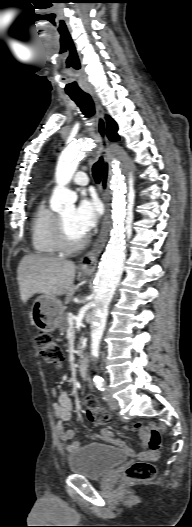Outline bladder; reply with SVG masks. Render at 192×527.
Instances as JSON below:
<instances>
[{
	"mask_svg": "<svg viewBox=\"0 0 192 527\" xmlns=\"http://www.w3.org/2000/svg\"><path fill=\"white\" fill-rule=\"evenodd\" d=\"M126 458L121 449L94 442L74 450L68 457V466L74 475L99 480L121 465Z\"/></svg>",
	"mask_w": 192,
	"mask_h": 527,
	"instance_id": "obj_1",
	"label": "bladder"
}]
</instances>
